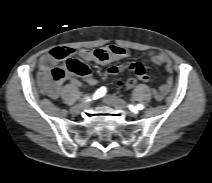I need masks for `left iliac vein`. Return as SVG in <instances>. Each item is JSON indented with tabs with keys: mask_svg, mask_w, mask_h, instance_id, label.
Returning <instances> with one entry per match:
<instances>
[{
	"mask_svg": "<svg viewBox=\"0 0 212 183\" xmlns=\"http://www.w3.org/2000/svg\"><path fill=\"white\" fill-rule=\"evenodd\" d=\"M104 102L109 104V105L118 107L120 109L127 110L126 103L123 100H121L120 98H118V97H115V96H112V95L106 96L104 98ZM127 114L130 115V116H135L136 115L135 112H131L129 110H127Z\"/></svg>",
	"mask_w": 212,
	"mask_h": 183,
	"instance_id": "obj_1",
	"label": "left iliac vein"
}]
</instances>
